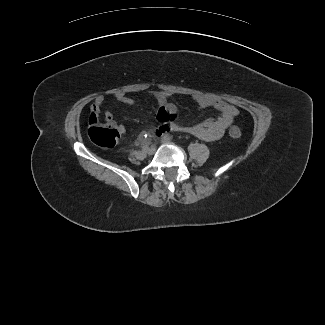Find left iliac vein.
I'll return each instance as SVG.
<instances>
[{"label":"left iliac vein","mask_w":325,"mask_h":325,"mask_svg":"<svg viewBox=\"0 0 325 325\" xmlns=\"http://www.w3.org/2000/svg\"><path fill=\"white\" fill-rule=\"evenodd\" d=\"M162 143L164 144L171 143V140L163 138Z\"/></svg>","instance_id":"1"}]
</instances>
